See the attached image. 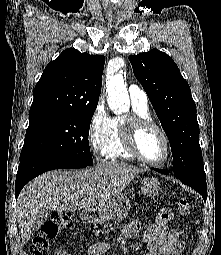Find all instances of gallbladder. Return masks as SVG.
<instances>
[{
  "label": "gallbladder",
  "instance_id": "bac80fb5",
  "mask_svg": "<svg viewBox=\"0 0 221 255\" xmlns=\"http://www.w3.org/2000/svg\"><path fill=\"white\" fill-rule=\"evenodd\" d=\"M49 215H50V212H45L36 218V220L34 222V230L35 231H37L41 227V225H43L46 222Z\"/></svg>",
  "mask_w": 221,
  "mask_h": 255
}]
</instances>
